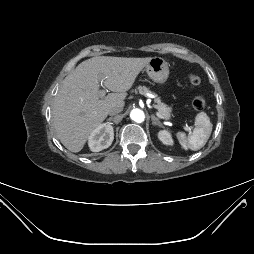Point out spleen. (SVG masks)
I'll return each mask as SVG.
<instances>
[{
    "label": "spleen",
    "instance_id": "1",
    "mask_svg": "<svg viewBox=\"0 0 254 254\" xmlns=\"http://www.w3.org/2000/svg\"><path fill=\"white\" fill-rule=\"evenodd\" d=\"M213 124L205 112H200L195 117V128L192 133L186 136L183 132L177 133V139L184 149L197 151L208 141Z\"/></svg>",
    "mask_w": 254,
    "mask_h": 254
}]
</instances>
